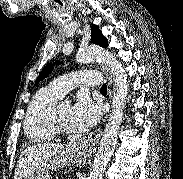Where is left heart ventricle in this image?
I'll list each match as a JSON object with an SVG mask.
<instances>
[{"label": "left heart ventricle", "mask_w": 183, "mask_h": 179, "mask_svg": "<svg viewBox=\"0 0 183 179\" xmlns=\"http://www.w3.org/2000/svg\"><path fill=\"white\" fill-rule=\"evenodd\" d=\"M71 111L72 106L68 103L61 104L58 110L60 124L68 131L73 130L70 124Z\"/></svg>", "instance_id": "1"}]
</instances>
